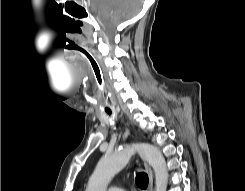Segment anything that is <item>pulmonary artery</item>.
Here are the masks:
<instances>
[{
  "label": "pulmonary artery",
  "instance_id": "1",
  "mask_svg": "<svg viewBox=\"0 0 245 191\" xmlns=\"http://www.w3.org/2000/svg\"><path fill=\"white\" fill-rule=\"evenodd\" d=\"M108 191H125V190L117 186H111L109 187Z\"/></svg>",
  "mask_w": 245,
  "mask_h": 191
}]
</instances>
